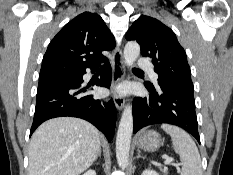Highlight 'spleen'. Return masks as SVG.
Segmentation results:
<instances>
[{"label": "spleen", "instance_id": "obj_1", "mask_svg": "<svg viewBox=\"0 0 233 175\" xmlns=\"http://www.w3.org/2000/svg\"><path fill=\"white\" fill-rule=\"evenodd\" d=\"M161 128L170 135L173 149L180 156V174L203 175L200 154L190 135L183 129L169 124H162Z\"/></svg>", "mask_w": 233, "mask_h": 175}]
</instances>
